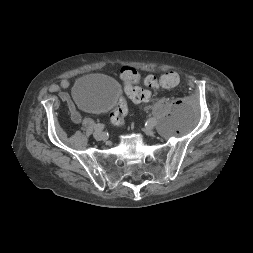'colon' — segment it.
<instances>
[{
	"mask_svg": "<svg viewBox=\"0 0 253 253\" xmlns=\"http://www.w3.org/2000/svg\"><path fill=\"white\" fill-rule=\"evenodd\" d=\"M120 77L124 84V90L127 96L136 103L146 102L151 98L149 88L161 86L163 88H174L178 85L180 78L177 72L169 71L160 77L147 76L143 82L147 88L136 87L135 84L141 81L140 74L132 67H123L120 71ZM128 111L126 101L119 99L115 110L111 114V121L115 126L123 123L124 117Z\"/></svg>",
	"mask_w": 253,
	"mask_h": 253,
	"instance_id": "1",
	"label": "colon"
}]
</instances>
